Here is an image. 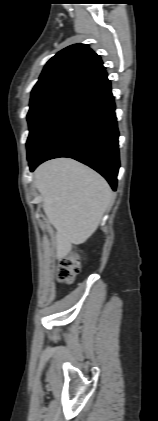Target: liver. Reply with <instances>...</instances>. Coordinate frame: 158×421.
I'll return each instance as SVG.
<instances>
[{
  "label": "liver",
  "instance_id": "6515ba94",
  "mask_svg": "<svg viewBox=\"0 0 158 421\" xmlns=\"http://www.w3.org/2000/svg\"><path fill=\"white\" fill-rule=\"evenodd\" d=\"M34 178L43 210L57 231L56 257L64 258L72 244L84 243L96 231L112 204V190L97 172L67 158L43 163Z\"/></svg>",
  "mask_w": 158,
  "mask_h": 421
}]
</instances>
